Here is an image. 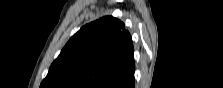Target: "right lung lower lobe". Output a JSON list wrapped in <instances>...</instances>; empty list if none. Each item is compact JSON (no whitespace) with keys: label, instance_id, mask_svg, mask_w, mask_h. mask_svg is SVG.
Wrapping results in <instances>:
<instances>
[{"label":"right lung lower lobe","instance_id":"obj_1","mask_svg":"<svg viewBox=\"0 0 223 88\" xmlns=\"http://www.w3.org/2000/svg\"><path fill=\"white\" fill-rule=\"evenodd\" d=\"M135 84H134V79H132V82H131V88H134Z\"/></svg>","mask_w":223,"mask_h":88}]
</instances>
